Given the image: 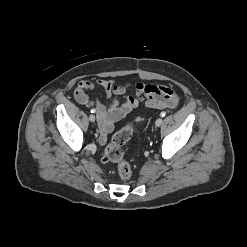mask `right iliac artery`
Masks as SVG:
<instances>
[{"label":"right iliac artery","instance_id":"1","mask_svg":"<svg viewBox=\"0 0 247 247\" xmlns=\"http://www.w3.org/2000/svg\"><path fill=\"white\" fill-rule=\"evenodd\" d=\"M91 112H92V113H94V112H95V110H94V109H91Z\"/></svg>","mask_w":247,"mask_h":247}]
</instances>
